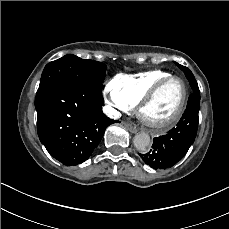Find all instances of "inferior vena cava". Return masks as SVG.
I'll use <instances>...</instances> for the list:
<instances>
[{
  "label": "inferior vena cava",
  "mask_w": 229,
  "mask_h": 229,
  "mask_svg": "<svg viewBox=\"0 0 229 229\" xmlns=\"http://www.w3.org/2000/svg\"><path fill=\"white\" fill-rule=\"evenodd\" d=\"M103 111H104L106 114H112V111H114V110H112V109L110 108V106H105V107L103 108Z\"/></svg>",
  "instance_id": "inferior-vena-cava-1"
}]
</instances>
